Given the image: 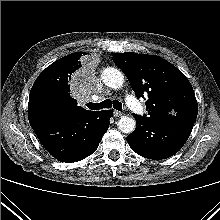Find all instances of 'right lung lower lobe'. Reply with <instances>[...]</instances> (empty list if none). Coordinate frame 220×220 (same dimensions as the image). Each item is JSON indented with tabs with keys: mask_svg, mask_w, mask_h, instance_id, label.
<instances>
[{
	"mask_svg": "<svg viewBox=\"0 0 220 220\" xmlns=\"http://www.w3.org/2000/svg\"><path fill=\"white\" fill-rule=\"evenodd\" d=\"M111 110L71 115L48 108L28 112L31 127L44 148L66 163L80 161L96 151L109 127Z\"/></svg>",
	"mask_w": 220,
	"mask_h": 220,
	"instance_id": "right-lung-lower-lobe-1",
	"label": "right lung lower lobe"
}]
</instances>
